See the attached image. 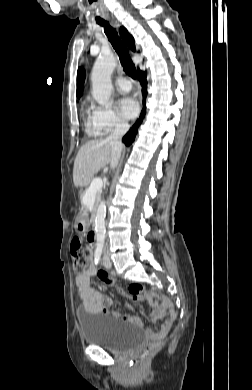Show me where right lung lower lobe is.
I'll list each match as a JSON object with an SVG mask.
<instances>
[{
	"label": "right lung lower lobe",
	"instance_id": "1",
	"mask_svg": "<svg viewBox=\"0 0 252 390\" xmlns=\"http://www.w3.org/2000/svg\"><path fill=\"white\" fill-rule=\"evenodd\" d=\"M138 80L141 83V86L143 88L142 95H143V109L141 111L140 117L137 119L135 124L130 128V130L125 134L122 141L127 145H131L133 141L135 140V136L137 134L138 128L141 125L145 114H146V106H145V100L147 96V80H146V72H142L140 70L137 71Z\"/></svg>",
	"mask_w": 252,
	"mask_h": 390
}]
</instances>
